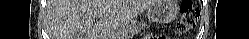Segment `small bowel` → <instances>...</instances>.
Returning a JSON list of instances; mask_svg holds the SVG:
<instances>
[{
    "instance_id": "small-bowel-1",
    "label": "small bowel",
    "mask_w": 249,
    "mask_h": 39,
    "mask_svg": "<svg viewBox=\"0 0 249 39\" xmlns=\"http://www.w3.org/2000/svg\"><path fill=\"white\" fill-rule=\"evenodd\" d=\"M146 39H166V37L162 35H148Z\"/></svg>"
}]
</instances>
